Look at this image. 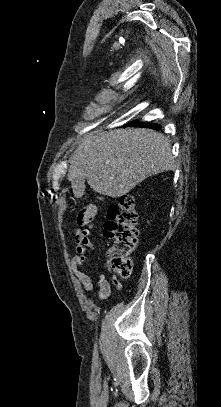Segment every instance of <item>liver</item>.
Listing matches in <instances>:
<instances>
[{"label": "liver", "mask_w": 221, "mask_h": 407, "mask_svg": "<svg viewBox=\"0 0 221 407\" xmlns=\"http://www.w3.org/2000/svg\"><path fill=\"white\" fill-rule=\"evenodd\" d=\"M171 144L145 128L97 132L83 138L74 151L67 179L84 177L93 191L116 198L146 178L175 169Z\"/></svg>", "instance_id": "liver-1"}]
</instances>
